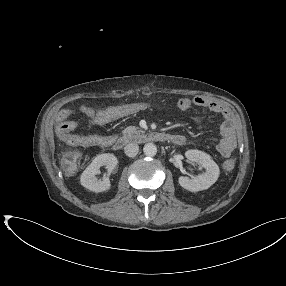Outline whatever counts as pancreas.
<instances>
[{
    "label": "pancreas",
    "instance_id": "pancreas-1",
    "mask_svg": "<svg viewBox=\"0 0 286 286\" xmlns=\"http://www.w3.org/2000/svg\"><path fill=\"white\" fill-rule=\"evenodd\" d=\"M141 132L142 130H139L138 127L128 126L124 130H122V135H123L122 138L124 140H129L134 137H137Z\"/></svg>",
    "mask_w": 286,
    "mask_h": 286
}]
</instances>
